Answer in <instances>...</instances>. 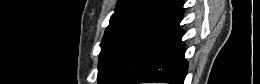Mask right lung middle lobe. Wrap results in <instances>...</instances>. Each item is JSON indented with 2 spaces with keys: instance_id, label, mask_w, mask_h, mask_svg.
I'll return each instance as SVG.
<instances>
[{
  "instance_id": "obj_1",
  "label": "right lung middle lobe",
  "mask_w": 260,
  "mask_h": 84,
  "mask_svg": "<svg viewBox=\"0 0 260 84\" xmlns=\"http://www.w3.org/2000/svg\"><path fill=\"white\" fill-rule=\"evenodd\" d=\"M178 28L132 26L103 38L100 84H129L174 38Z\"/></svg>"
}]
</instances>
